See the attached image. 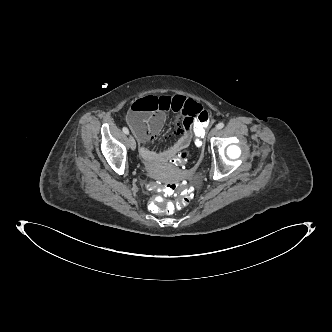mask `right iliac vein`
I'll return each mask as SVG.
<instances>
[{"mask_svg":"<svg viewBox=\"0 0 332 332\" xmlns=\"http://www.w3.org/2000/svg\"><path fill=\"white\" fill-rule=\"evenodd\" d=\"M128 141H129L130 148L132 150H135L136 149V141H135L134 137L130 135L129 138H128Z\"/></svg>","mask_w":332,"mask_h":332,"instance_id":"obj_1","label":"right iliac vein"}]
</instances>
